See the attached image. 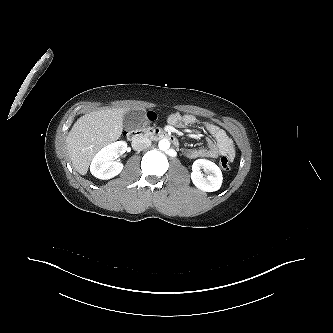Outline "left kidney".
Returning <instances> with one entry per match:
<instances>
[{
	"label": "left kidney",
	"mask_w": 333,
	"mask_h": 333,
	"mask_svg": "<svg viewBox=\"0 0 333 333\" xmlns=\"http://www.w3.org/2000/svg\"><path fill=\"white\" fill-rule=\"evenodd\" d=\"M201 169L208 174L204 177ZM191 179L193 184L205 192H213L220 189L223 176L220 168L213 162L206 159H198L192 165Z\"/></svg>",
	"instance_id": "1"
}]
</instances>
